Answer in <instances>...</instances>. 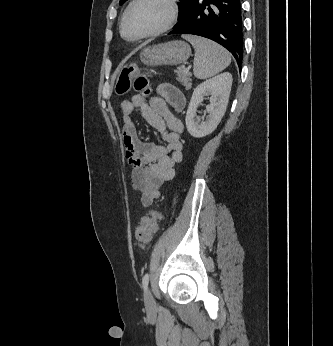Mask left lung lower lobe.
I'll list each match as a JSON object with an SVG mask.
<instances>
[{"label": "left lung lower lobe", "instance_id": "obj_1", "mask_svg": "<svg viewBox=\"0 0 333 346\" xmlns=\"http://www.w3.org/2000/svg\"><path fill=\"white\" fill-rule=\"evenodd\" d=\"M169 34H193L211 39L229 50L241 67L243 25L240 0H192Z\"/></svg>", "mask_w": 333, "mask_h": 346}]
</instances>
